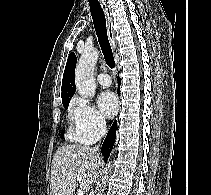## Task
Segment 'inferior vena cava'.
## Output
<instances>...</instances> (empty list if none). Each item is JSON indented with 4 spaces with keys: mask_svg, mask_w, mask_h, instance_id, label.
<instances>
[{
    "mask_svg": "<svg viewBox=\"0 0 211 195\" xmlns=\"http://www.w3.org/2000/svg\"><path fill=\"white\" fill-rule=\"evenodd\" d=\"M98 133L101 137H104L106 134V123L103 120L98 122ZM97 149H98V146L94 148V150H97Z\"/></svg>",
    "mask_w": 211,
    "mask_h": 195,
    "instance_id": "inferior-vena-cava-1",
    "label": "inferior vena cava"
}]
</instances>
